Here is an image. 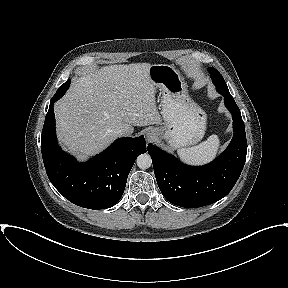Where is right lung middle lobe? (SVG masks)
Masks as SVG:
<instances>
[{
	"mask_svg": "<svg viewBox=\"0 0 288 288\" xmlns=\"http://www.w3.org/2000/svg\"><path fill=\"white\" fill-rule=\"evenodd\" d=\"M70 81L65 82L60 88L57 90V92L54 95V98L59 99L63 96L65 91L69 88Z\"/></svg>",
	"mask_w": 288,
	"mask_h": 288,
	"instance_id": "1",
	"label": "right lung middle lobe"
}]
</instances>
